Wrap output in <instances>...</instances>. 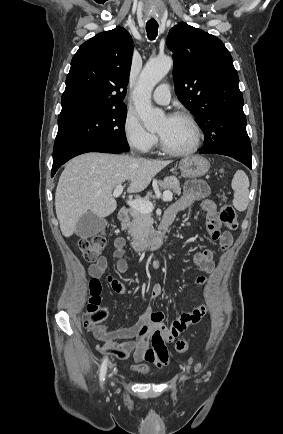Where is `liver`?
I'll use <instances>...</instances> for the list:
<instances>
[{
	"label": "liver",
	"instance_id": "1",
	"mask_svg": "<svg viewBox=\"0 0 283 434\" xmlns=\"http://www.w3.org/2000/svg\"><path fill=\"white\" fill-rule=\"evenodd\" d=\"M170 162L105 153H86L72 159L62 172L55 193L63 236H72L77 222L87 212L101 218L113 213L117 203L112 191L117 185L130 181L127 192H141Z\"/></svg>",
	"mask_w": 283,
	"mask_h": 434
}]
</instances>
